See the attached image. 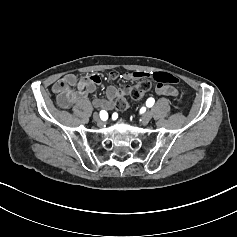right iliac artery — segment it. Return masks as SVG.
<instances>
[{
    "mask_svg": "<svg viewBox=\"0 0 237 237\" xmlns=\"http://www.w3.org/2000/svg\"><path fill=\"white\" fill-rule=\"evenodd\" d=\"M100 118L104 121L108 118V113L105 110L100 111Z\"/></svg>",
    "mask_w": 237,
    "mask_h": 237,
    "instance_id": "obj_1",
    "label": "right iliac artery"
}]
</instances>
